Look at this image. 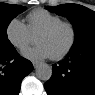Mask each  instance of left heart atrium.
Returning <instances> with one entry per match:
<instances>
[{
  "instance_id": "left-heart-atrium-1",
  "label": "left heart atrium",
  "mask_w": 95,
  "mask_h": 95,
  "mask_svg": "<svg viewBox=\"0 0 95 95\" xmlns=\"http://www.w3.org/2000/svg\"><path fill=\"white\" fill-rule=\"evenodd\" d=\"M23 55L31 60L45 59L52 56L44 44H37L36 46L25 49Z\"/></svg>"
}]
</instances>
